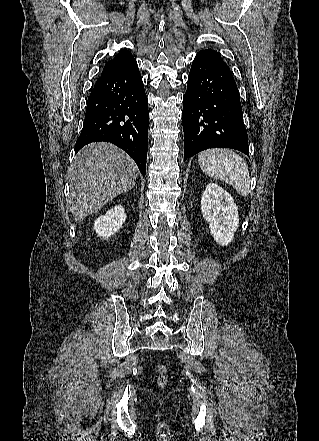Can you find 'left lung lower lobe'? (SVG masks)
I'll list each match as a JSON object with an SVG mask.
<instances>
[{"mask_svg":"<svg viewBox=\"0 0 319 441\" xmlns=\"http://www.w3.org/2000/svg\"><path fill=\"white\" fill-rule=\"evenodd\" d=\"M183 102L184 160L217 147L249 156L239 91L227 65L197 53Z\"/></svg>","mask_w":319,"mask_h":441,"instance_id":"left-lung-lower-lobe-1","label":"left lung lower lobe"}]
</instances>
